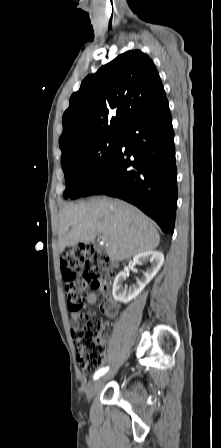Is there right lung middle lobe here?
<instances>
[{
  "label": "right lung middle lobe",
  "instance_id": "obj_1",
  "mask_svg": "<svg viewBox=\"0 0 221 448\" xmlns=\"http://www.w3.org/2000/svg\"><path fill=\"white\" fill-rule=\"evenodd\" d=\"M118 135L94 139L61 159L66 181L64 192L66 199H76L84 194L112 157Z\"/></svg>",
  "mask_w": 221,
  "mask_h": 448
}]
</instances>
